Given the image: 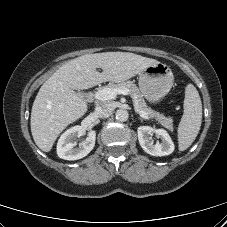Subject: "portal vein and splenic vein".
<instances>
[{
	"instance_id": "1",
	"label": "portal vein and splenic vein",
	"mask_w": 227,
	"mask_h": 227,
	"mask_svg": "<svg viewBox=\"0 0 227 227\" xmlns=\"http://www.w3.org/2000/svg\"><path fill=\"white\" fill-rule=\"evenodd\" d=\"M129 93L128 89H116V88H103L98 90L94 97L97 100L100 101H106V100H111L115 99V97L118 94H124L127 95ZM135 111L139 113V115L144 118V119H149V116L147 115L146 112L140 111L136 106H135Z\"/></svg>"
}]
</instances>
